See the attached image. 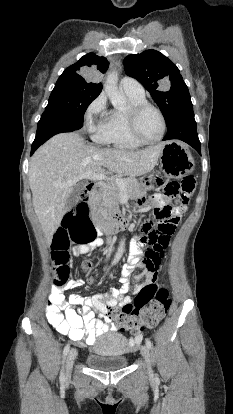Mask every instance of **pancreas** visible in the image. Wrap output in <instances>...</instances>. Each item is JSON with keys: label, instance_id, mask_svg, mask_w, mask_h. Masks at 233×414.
<instances>
[{"label": "pancreas", "instance_id": "obj_1", "mask_svg": "<svg viewBox=\"0 0 233 414\" xmlns=\"http://www.w3.org/2000/svg\"><path fill=\"white\" fill-rule=\"evenodd\" d=\"M126 182V187L118 186L114 181H108L100 193L101 213L103 216H113L119 205L121 194L130 196L135 191H140L139 183L134 177L120 178Z\"/></svg>", "mask_w": 233, "mask_h": 414}]
</instances>
